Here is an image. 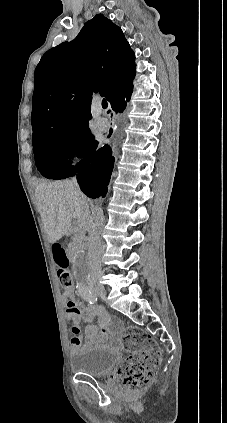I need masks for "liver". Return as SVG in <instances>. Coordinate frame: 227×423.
Instances as JSON below:
<instances>
[{
  "mask_svg": "<svg viewBox=\"0 0 227 423\" xmlns=\"http://www.w3.org/2000/svg\"><path fill=\"white\" fill-rule=\"evenodd\" d=\"M35 198L50 243L58 241L65 233L72 231V210L78 213L77 219L82 223L86 196L72 180L38 184Z\"/></svg>",
  "mask_w": 227,
  "mask_h": 423,
  "instance_id": "1",
  "label": "liver"
}]
</instances>
